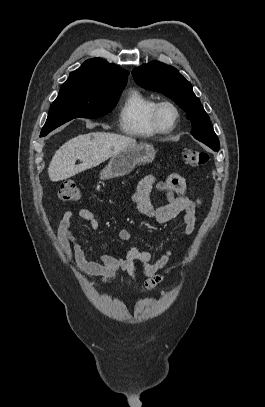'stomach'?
<instances>
[{"label": "stomach", "instance_id": "0dacf381", "mask_svg": "<svg viewBox=\"0 0 265 407\" xmlns=\"http://www.w3.org/2000/svg\"><path fill=\"white\" fill-rule=\"evenodd\" d=\"M155 158L151 144L136 143L113 155L108 165L100 172V179L106 180L129 174L137 164H147Z\"/></svg>", "mask_w": 265, "mask_h": 407}]
</instances>
